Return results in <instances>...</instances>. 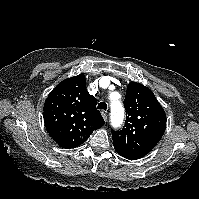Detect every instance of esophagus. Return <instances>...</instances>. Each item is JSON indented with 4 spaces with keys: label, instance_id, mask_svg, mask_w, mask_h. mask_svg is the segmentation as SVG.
Listing matches in <instances>:
<instances>
[{
    "label": "esophagus",
    "instance_id": "obj_1",
    "mask_svg": "<svg viewBox=\"0 0 199 199\" xmlns=\"http://www.w3.org/2000/svg\"><path fill=\"white\" fill-rule=\"evenodd\" d=\"M102 117H103L104 121H107V114H106V112H102Z\"/></svg>",
    "mask_w": 199,
    "mask_h": 199
}]
</instances>
